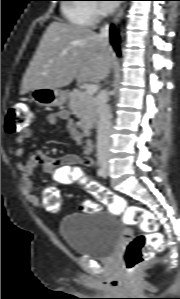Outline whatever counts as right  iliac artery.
<instances>
[{
    "label": "right iliac artery",
    "instance_id": "obj_1",
    "mask_svg": "<svg viewBox=\"0 0 180 299\" xmlns=\"http://www.w3.org/2000/svg\"><path fill=\"white\" fill-rule=\"evenodd\" d=\"M97 174L98 176L100 177H104L105 176V171H104V168H99L98 171H97Z\"/></svg>",
    "mask_w": 180,
    "mask_h": 299
}]
</instances>
